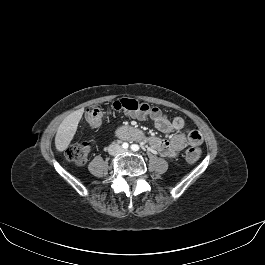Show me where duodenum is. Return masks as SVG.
<instances>
[{
	"instance_id": "410a0bca",
	"label": "duodenum",
	"mask_w": 265,
	"mask_h": 265,
	"mask_svg": "<svg viewBox=\"0 0 265 265\" xmlns=\"http://www.w3.org/2000/svg\"><path fill=\"white\" fill-rule=\"evenodd\" d=\"M117 137L120 140H132V139H140L141 135L137 129H126V128H119L117 131Z\"/></svg>"
}]
</instances>
